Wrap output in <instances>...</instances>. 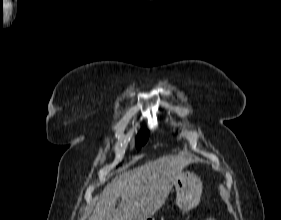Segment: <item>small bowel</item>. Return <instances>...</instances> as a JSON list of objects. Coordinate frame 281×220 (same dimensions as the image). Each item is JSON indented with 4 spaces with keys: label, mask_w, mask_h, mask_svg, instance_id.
<instances>
[{
    "label": "small bowel",
    "mask_w": 281,
    "mask_h": 220,
    "mask_svg": "<svg viewBox=\"0 0 281 220\" xmlns=\"http://www.w3.org/2000/svg\"><path fill=\"white\" fill-rule=\"evenodd\" d=\"M206 220H216V219H214V218H208V219H206Z\"/></svg>",
    "instance_id": "1"
}]
</instances>
